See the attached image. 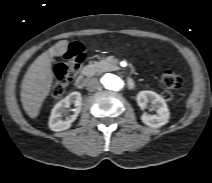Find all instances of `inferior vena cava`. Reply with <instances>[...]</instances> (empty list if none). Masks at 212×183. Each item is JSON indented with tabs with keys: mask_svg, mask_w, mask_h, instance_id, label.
Listing matches in <instances>:
<instances>
[{
	"mask_svg": "<svg viewBox=\"0 0 212 183\" xmlns=\"http://www.w3.org/2000/svg\"><path fill=\"white\" fill-rule=\"evenodd\" d=\"M87 90L94 91L100 88V83L97 78H91L87 82Z\"/></svg>",
	"mask_w": 212,
	"mask_h": 183,
	"instance_id": "inferior-vena-cava-1",
	"label": "inferior vena cava"
}]
</instances>
